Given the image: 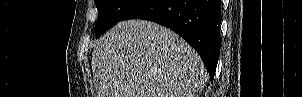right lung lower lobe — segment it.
Returning <instances> with one entry per match:
<instances>
[{"instance_id":"right-lung-lower-lobe-1","label":"right lung lower lobe","mask_w":302,"mask_h":97,"mask_svg":"<svg viewBox=\"0 0 302 97\" xmlns=\"http://www.w3.org/2000/svg\"><path fill=\"white\" fill-rule=\"evenodd\" d=\"M144 19L178 33L201 56L213 81L220 53L221 0H141L123 20Z\"/></svg>"}]
</instances>
